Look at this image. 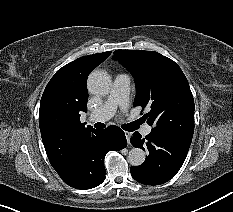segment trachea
<instances>
[{
    "label": "trachea",
    "instance_id": "1",
    "mask_svg": "<svg viewBox=\"0 0 233 212\" xmlns=\"http://www.w3.org/2000/svg\"><path fill=\"white\" fill-rule=\"evenodd\" d=\"M95 128H105V124L104 123H96L95 125ZM138 126V123L136 122H133V123H129V124H124L122 125V128L126 131H133L137 128Z\"/></svg>",
    "mask_w": 233,
    "mask_h": 212
}]
</instances>
